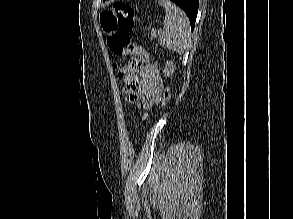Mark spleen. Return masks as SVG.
Wrapping results in <instances>:
<instances>
[{
  "label": "spleen",
  "mask_w": 293,
  "mask_h": 219,
  "mask_svg": "<svg viewBox=\"0 0 293 219\" xmlns=\"http://www.w3.org/2000/svg\"><path fill=\"white\" fill-rule=\"evenodd\" d=\"M165 7L164 27L159 35L163 47L183 54L189 45L190 22L185 13L169 0H159Z\"/></svg>",
  "instance_id": "1"
}]
</instances>
